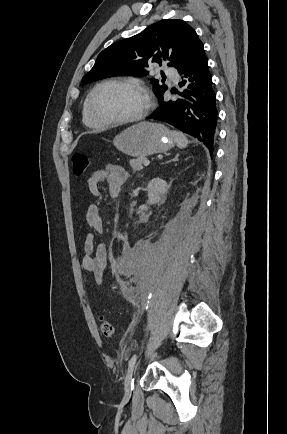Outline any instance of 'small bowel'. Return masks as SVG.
Wrapping results in <instances>:
<instances>
[{
	"label": "small bowel",
	"mask_w": 287,
	"mask_h": 434,
	"mask_svg": "<svg viewBox=\"0 0 287 434\" xmlns=\"http://www.w3.org/2000/svg\"><path fill=\"white\" fill-rule=\"evenodd\" d=\"M128 179V172L120 165L109 164L104 169L94 171L87 180V186L96 200L90 203L85 211V220L91 232L83 243L84 255L81 267L92 274L97 283L103 281L107 268L108 256L103 243L96 240V235L105 232V226L100 215V206L103 199L100 184L106 183L109 195L116 198L122 191Z\"/></svg>",
	"instance_id": "c3829d8e"
}]
</instances>
